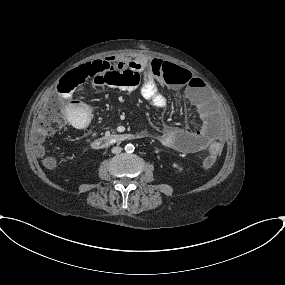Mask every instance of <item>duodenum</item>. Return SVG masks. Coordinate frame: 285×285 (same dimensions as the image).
I'll list each match as a JSON object with an SVG mask.
<instances>
[{
  "mask_svg": "<svg viewBox=\"0 0 285 285\" xmlns=\"http://www.w3.org/2000/svg\"><path fill=\"white\" fill-rule=\"evenodd\" d=\"M139 138H141V135L139 134L112 133V134L104 135V136L94 139L92 142V147L94 149H102V148L109 147L112 145L133 141Z\"/></svg>",
  "mask_w": 285,
  "mask_h": 285,
  "instance_id": "duodenum-1",
  "label": "duodenum"
}]
</instances>
